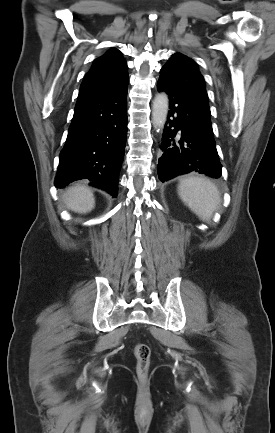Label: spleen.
I'll return each mask as SVG.
<instances>
[{"instance_id": "spleen-1", "label": "spleen", "mask_w": 275, "mask_h": 433, "mask_svg": "<svg viewBox=\"0 0 275 433\" xmlns=\"http://www.w3.org/2000/svg\"><path fill=\"white\" fill-rule=\"evenodd\" d=\"M182 201L202 220H208L216 210L220 195L217 187L204 177H188L178 186Z\"/></svg>"}]
</instances>
